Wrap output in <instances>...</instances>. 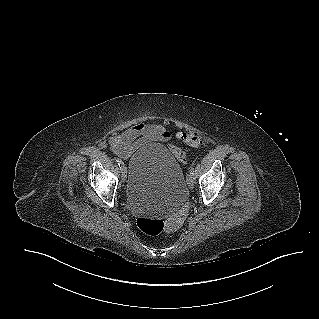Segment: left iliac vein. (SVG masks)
Segmentation results:
<instances>
[{
    "label": "left iliac vein",
    "mask_w": 319,
    "mask_h": 319,
    "mask_svg": "<svg viewBox=\"0 0 319 319\" xmlns=\"http://www.w3.org/2000/svg\"><path fill=\"white\" fill-rule=\"evenodd\" d=\"M187 180H188V186H189V188H190V189H193L194 186H195L194 179L189 175V177H188Z\"/></svg>",
    "instance_id": "4c4485c4"
}]
</instances>
